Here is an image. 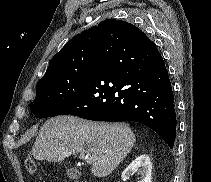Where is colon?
I'll use <instances>...</instances> for the list:
<instances>
[{"mask_svg":"<svg viewBox=\"0 0 211 182\" xmlns=\"http://www.w3.org/2000/svg\"><path fill=\"white\" fill-rule=\"evenodd\" d=\"M26 169L28 172L34 174L37 171V164L36 161L32 157H28L25 162Z\"/></svg>","mask_w":211,"mask_h":182,"instance_id":"colon-1","label":"colon"}]
</instances>
